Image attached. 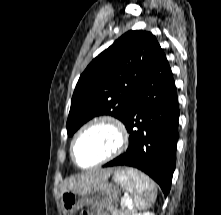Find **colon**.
<instances>
[{"label": "colon", "instance_id": "obj_1", "mask_svg": "<svg viewBox=\"0 0 221 215\" xmlns=\"http://www.w3.org/2000/svg\"><path fill=\"white\" fill-rule=\"evenodd\" d=\"M81 215H110V214L100 209L87 208L82 211Z\"/></svg>", "mask_w": 221, "mask_h": 215}]
</instances>
